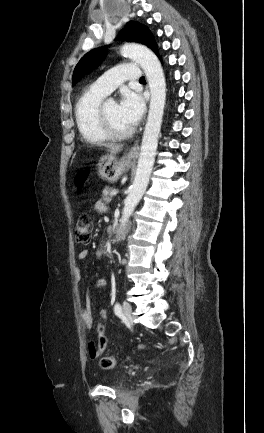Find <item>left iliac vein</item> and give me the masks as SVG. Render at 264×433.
<instances>
[{
    "label": "left iliac vein",
    "mask_w": 264,
    "mask_h": 433,
    "mask_svg": "<svg viewBox=\"0 0 264 433\" xmlns=\"http://www.w3.org/2000/svg\"><path fill=\"white\" fill-rule=\"evenodd\" d=\"M123 313L128 320L131 318L132 307L127 301L123 302Z\"/></svg>",
    "instance_id": "left-iliac-vein-1"
}]
</instances>
